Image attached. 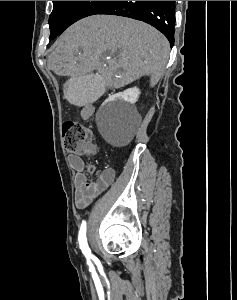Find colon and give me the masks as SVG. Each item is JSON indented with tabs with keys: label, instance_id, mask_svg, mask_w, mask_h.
<instances>
[{
	"label": "colon",
	"instance_id": "5ec220e1",
	"mask_svg": "<svg viewBox=\"0 0 237 300\" xmlns=\"http://www.w3.org/2000/svg\"><path fill=\"white\" fill-rule=\"evenodd\" d=\"M63 139L66 150L72 154H84L92 146V132L89 128L69 121L63 125ZM89 171L93 170L88 165Z\"/></svg>",
	"mask_w": 237,
	"mask_h": 300
}]
</instances>
